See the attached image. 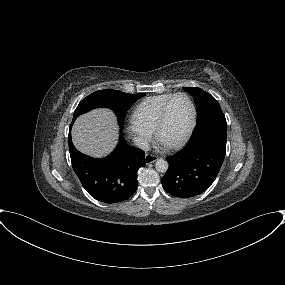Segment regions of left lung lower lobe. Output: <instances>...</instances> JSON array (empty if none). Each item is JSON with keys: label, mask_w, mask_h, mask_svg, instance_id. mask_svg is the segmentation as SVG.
Listing matches in <instances>:
<instances>
[{"label": "left lung lower lobe", "mask_w": 285, "mask_h": 285, "mask_svg": "<svg viewBox=\"0 0 285 285\" xmlns=\"http://www.w3.org/2000/svg\"><path fill=\"white\" fill-rule=\"evenodd\" d=\"M227 122L221 109L208 111L197 120L187 145L166 160L169 168L161 178L171 195L189 198L206 191L215 180L226 152Z\"/></svg>", "instance_id": "0a47b994"}]
</instances>
